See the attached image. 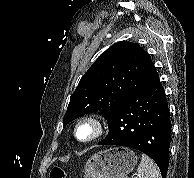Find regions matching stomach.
Segmentation results:
<instances>
[{"mask_svg": "<svg viewBox=\"0 0 194 178\" xmlns=\"http://www.w3.org/2000/svg\"><path fill=\"white\" fill-rule=\"evenodd\" d=\"M137 156L127 148L100 151L86 162L84 178H127L137 165Z\"/></svg>", "mask_w": 194, "mask_h": 178, "instance_id": "1", "label": "stomach"}]
</instances>
